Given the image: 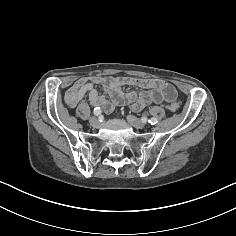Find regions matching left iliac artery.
Instances as JSON below:
<instances>
[{
    "mask_svg": "<svg viewBox=\"0 0 236 236\" xmlns=\"http://www.w3.org/2000/svg\"><path fill=\"white\" fill-rule=\"evenodd\" d=\"M148 122H149L151 125H155V124L158 122V120H157V118L152 117L151 119L148 120Z\"/></svg>",
    "mask_w": 236,
    "mask_h": 236,
    "instance_id": "left-iliac-artery-1",
    "label": "left iliac artery"
}]
</instances>
